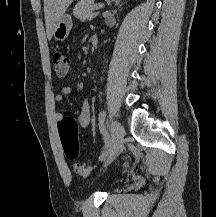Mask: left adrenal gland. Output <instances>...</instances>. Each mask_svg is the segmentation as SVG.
<instances>
[{
  "label": "left adrenal gland",
  "mask_w": 216,
  "mask_h": 217,
  "mask_svg": "<svg viewBox=\"0 0 216 217\" xmlns=\"http://www.w3.org/2000/svg\"><path fill=\"white\" fill-rule=\"evenodd\" d=\"M113 1H115V5H119L121 0H113Z\"/></svg>",
  "instance_id": "obj_1"
}]
</instances>
